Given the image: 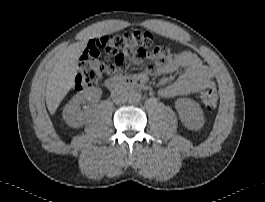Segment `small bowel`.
Masks as SVG:
<instances>
[{"label": "small bowel", "mask_w": 265, "mask_h": 202, "mask_svg": "<svg viewBox=\"0 0 265 202\" xmlns=\"http://www.w3.org/2000/svg\"><path fill=\"white\" fill-rule=\"evenodd\" d=\"M97 41L98 38L89 40L84 54L88 55ZM179 68H184V72L175 81L166 85L160 91V96L174 98L180 95L195 93L202 88L214 85L212 70L205 66L197 55L190 51L168 54L164 50L163 54L146 68V74L152 76L166 75L174 73Z\"/></svg>", "instance_id": "obj_1"}]
</instances>
